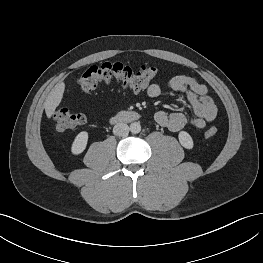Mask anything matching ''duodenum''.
Instances as JSON below:
<instances>
[{
	"instance_id": "duodenum-1",
	"label": "duodenum",
	"mask_w": 263,
	"mask_h": 263,
	"mask_svg": "<svg viewBox=\"0 0 263 263\" xmlns=\"http://www.w3.org/2000/svg\"><path fill=\"white\" fill-rule=\"evenodd\" d=\"M140 114L137 112H123L115 117L111 118L112 123H121V122H132L140 119Z\"/></svg>"
}]
</instances>
